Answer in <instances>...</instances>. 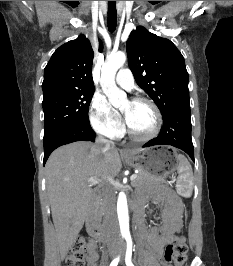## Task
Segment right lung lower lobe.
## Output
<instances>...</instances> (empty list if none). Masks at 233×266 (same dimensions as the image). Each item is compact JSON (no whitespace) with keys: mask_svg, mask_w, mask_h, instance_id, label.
<instances>
[{"mask_svg":"<svg viewBox=\"0 0 233 266\" xmlns=\"http://www.w3.org/2000/svg\"><path fill=\"white\" fill-rule=\"evenodd\" d=\"M75 141H95V132L90 124H79L63 127L49 135L44 136V160L46 163L49 155L59 146Z\"/></svg>","mask_w":233,"mask_h":266,"instance_id":"obj_1","label":"right lung lower lobe"}]
</instances>
